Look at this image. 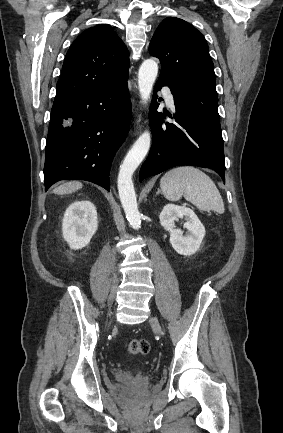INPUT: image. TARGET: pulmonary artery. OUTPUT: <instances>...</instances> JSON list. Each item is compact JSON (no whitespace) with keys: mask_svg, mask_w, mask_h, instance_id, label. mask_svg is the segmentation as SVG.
Masks as SVG:
<instances>
[{"mask_svg":"<svg viewBox=\"0 0 283 433\" xmlns=\"http://www.w3.org/2000/svg\"><path fill=\"white\" fill-rule=\"evenodd\" d=\"M159 93L161 96H164L165 103L168 108H170L172 111L175 110V100L172 93H170V90L168 87H161L159 90Z\"/></svg>","mask_w":283,"mask_h":433,"instance_id":"pulmonary-artery-1","label":"pulmonary artery"}]
</instances>
